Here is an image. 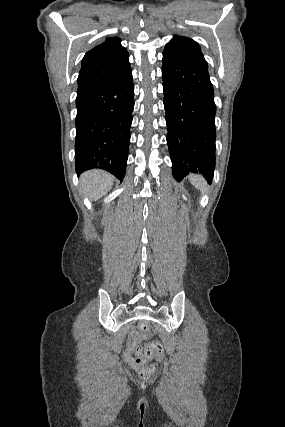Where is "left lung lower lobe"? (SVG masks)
<instances>
[{"instance_id": "0a47b994", "label": "left lung lower lobe", "mask_w": 285, "mask_h": 427, "mask_svg": "<svg viewBox=\"0 0 285 427\" xmlns=\"http://www.w3.org/2000/svg\"><path fill=\"white\" fill-rule=\"evenodd\" d=\"M164 108L173 176L189 172L211 183L215 168L216 106L206 62L188 56L163 55Z\"/></svg>"}]
</instances>
